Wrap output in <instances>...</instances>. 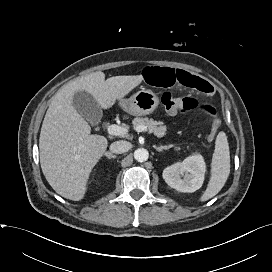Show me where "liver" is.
<instances>
[{"instance_id":"liver-1","label":"liver","mask_w":272,"mask_h":272,"mask_svg":"<svg viewBox=\"0 0 272 272\" xmlns=\"http://www.w3.org/2000/svg\"><path fill=\"white\" fill-rule=\"evenodd\" d=\"M142 80V75L105 80L99 71L66 84L56 93L43 120L39 150L42 172L57 194L73 201L83 199L90 173L108 146L104 136L90 134V125L73 107L75 92L86 91L101 108L109 109Z\"/></svg>"}]
</instances>
